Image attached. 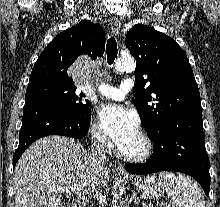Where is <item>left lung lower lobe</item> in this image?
Returning a JSON list of instances; mask_svg holds the SVG:
<instances>
[{
	"mask_svg": "<svg viewBox=\"0 0 220 207\" xmlns=\"http://www.w3.org/2000/svg\"><path fill=\"white\" fill-rule=\"evenodd\" d=\"M153 156L145 163L127 164L131 174L176 171L193 177L209 196V158L205 148L202 110L189 109L169 118L152 136Z\"/></svg>",
	"mask_w": 220,
	"mask_h": 207,
	"instance_id": "obj_1",
	"label": "left lung lower lobe"
}]
</instances>
